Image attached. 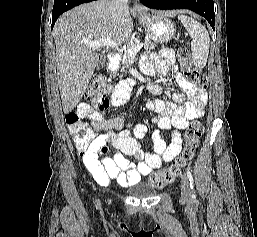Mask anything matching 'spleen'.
I'll use <instances>...</instances> for the list:
<instances>
[{
    "mask_svg": "<svg viewBox=\"0 0 257 237\" xmlns=\"http://www.w3.org/2000/svg\"><path fill=\"white\" fill-rule=\"evenodd\" d=\"M192 38L191 50L194 65L204 68L209 54L210 38L208 31L199 22L185 15L178 16Z\"/></svg>",
    "mask_w": 257,
    "mask_h": 237,
    "instance_id": "spleen-1",
    "label": "spleen"
}]
</instances>
